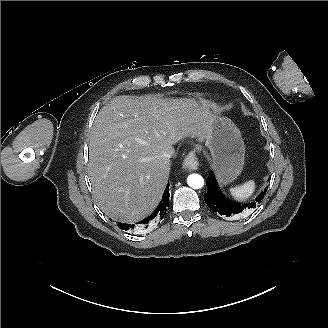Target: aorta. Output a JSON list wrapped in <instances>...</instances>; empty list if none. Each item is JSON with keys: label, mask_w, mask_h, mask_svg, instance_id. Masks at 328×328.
Wrapping results in <instances>:
<instances>
[{"label": "aorta", "mask_w": 328, "mask_h": 328, "mask_svg": "<svg viewBox=\"0 0 328 328\" xmlns=\"http://www.w3.org/2000/svg\"><path fill=\"white\" fill-rule=\"evenodd\" d=\"M187 183L193 189H200L204 186V179L199 174H191L187 178Z\"/></svg>", "instance_id": "obj_1"}]
</instances>
